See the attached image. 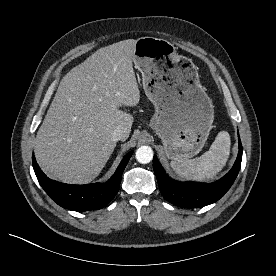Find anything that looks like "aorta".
<instances>
[{
  "mask_svg": "<svg viewBox=\"0 0 276 276\" xmlns=\"http://www.w3.org/2000/svg\"><path fill=\"white\" fill-rule=\"evenodd\" d=\"M136 160L141 164H147L153 159V150L149 146H141L136 151Z\"/></svg>",
  "mask_w": 276,
  "mask_h": 276,
  "instance_id": "762f6f07",
  "label": "aorta"
}]
</instances>
